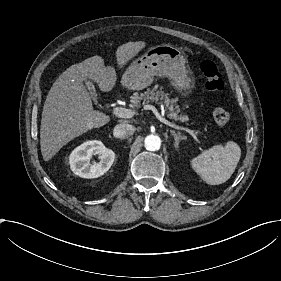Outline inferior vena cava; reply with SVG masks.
<instances>
[{
  "label": "inferior vena cava",
  "mask_w": 281,
  "mask_h": 281,
  "mask_svg": "<svg viewBox=\"0 0 281 281\" xmlns=\"http://www.w3.org/2000/svg\"><path fill=\"white\" fill-rule=\"evenodd\" d=\"M136 131V128L131 124L116 125L113 131L115 138H129Z\"/></svg>",
  "instance_id": "1"
}]
</instances>
